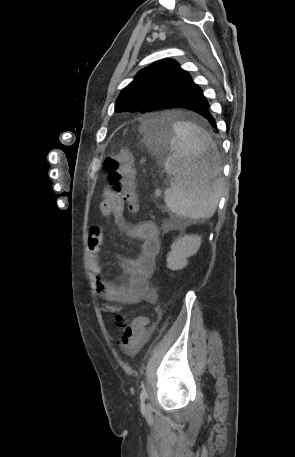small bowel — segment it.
I'll list each match as a JSON object with an SVG mask.
<instances>
[{
	"mask_svg": "<svg viewBox=\"0 0 295 457\" xmlns=\"http://www.w3.org/2000/svg\"><path fill=\"white\" fill-rule=\"evenodd\" d=\"M104 199L100 204L103 217H114L126 232L141 242L140 253L135 258L119 257V264L126 275L122 284H114L103 276L101 264V247L104 234L99 226H93L88 232L89 265L95 277L96 291L105 301L103 311L123 312L124 304L154 303L157 293L152 289L148 280L155 268V259L160 252L161 243L156 225L144 221L130 227L123 223L124 205L111 187L104 189ZM133 351V350H132Z\"/></svg>",
	"mask_w": 295,
	"mask_h": 457,
	"instance_id": "c3829d8e",
	"label": "small bowel"
}]
</instances>
